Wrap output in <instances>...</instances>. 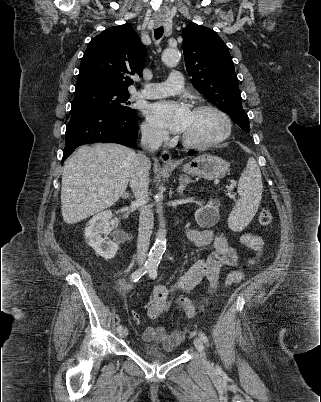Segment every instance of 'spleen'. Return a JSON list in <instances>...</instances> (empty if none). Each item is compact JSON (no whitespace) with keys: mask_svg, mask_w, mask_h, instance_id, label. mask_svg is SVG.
I'll return each instance as SVG.
<instances>
[{"mask_svg":"<svg viewBox=\"0 0 321 402\" xmlns=\"http://www.w3.org/2000/svg\"><path fill=\"white\" fill-rule=\"evenodd\" d=\"M262 191L259 166L256 160L250 157L239 178L237 188L239 199L228 217V225L232 231H241L250 223L258 210Z\"/></svg>","mask_w":321,"mask_h":402,"instance_id":"obj_1","label":"spleen"}]
</instances>
